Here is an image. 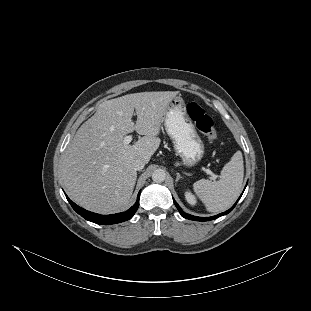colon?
Segmentation results:
<instances>
[{"label":"colon","mask_w":311,"mask_h":311,"mask_svg":"<svg viewBox=\"0 0 311 311\" xmlns=\"http://www.w3.org/2000/svg\"><path fill=\"white\" fill-rule=\"evenodd\" d=\"M188 116L195 124L196 128L211 142L217 140L212 118L205 109L197 102H188L186 105Z\"/></svg>","instance_id":"5ec220e1"}]
</instances>
